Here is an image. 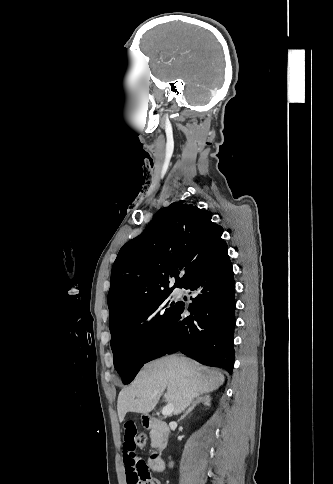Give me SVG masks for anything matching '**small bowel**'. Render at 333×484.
<instances>
[{"label":"small bowel","instance_id":"small-bowel-1","mask_svg":"<svg viewBox=\"0 0 333 484\" xmlns=\"http://www.w3.org/2000/svg\"><path fill=\"white\" fill-rule=\"evenodd\" d=\"M123 430V462L127 484H161L151 475L146 462L136 453L135 439L138 434L135 422L126 420Z\"/></svg>","mask_w":333,"mask_h":484}]
</instances>
